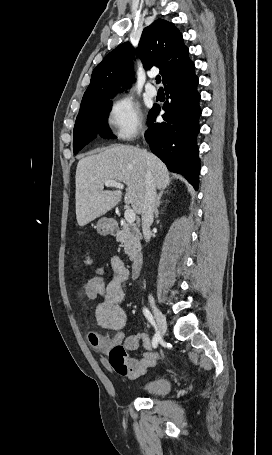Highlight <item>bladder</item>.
Returning a JSON list of instances; mask_svg holds the SVG:
<instances>
[{"label":"bladder","mask_w":272,"mask_h":455,"mask_svg":"<svg viewBox=\"0 0 272 455\" xmlns=\"http://www.w3.org/2000/svg\"><path fill=\"white\" fill-rule=\"evenodd\" d=\"M172 389V381L167 376H160L145 383L141 391L150 396L165 395Z\"/></svg>","instance_id":"31cf9c89"}]
</instances>
